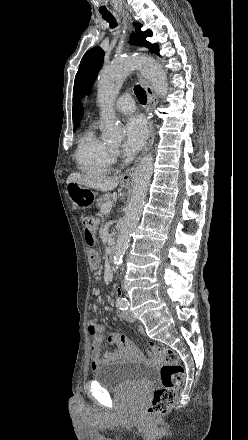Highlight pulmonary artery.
I'll return each instance as SVG.
<instances>
[{"instance_id":"1","label":"pulmonary artery","mask_w":248,"mask_h":440,"mask_svg":"<svg viewBox=\"0 0 248 440\" xmlns=\"http://www.w3.org/2000/svg\"><path fill=\"white\" fill-rule=\"evenodd\" d=\"M115 110L122 114H130L135 110V103L129 93L120 96L115 103Z\"/></svg>"}]
</instances>
